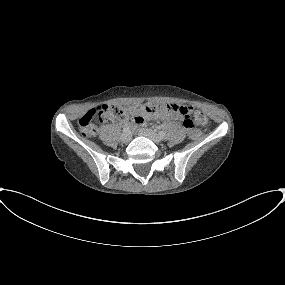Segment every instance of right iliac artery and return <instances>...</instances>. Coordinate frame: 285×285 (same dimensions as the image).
I'll list each match as a JSON object with an SVG mask.
<instances>
[{
  "label": "right iliac artery",
  "instance_id": "obj_1",
  "mask_svg": "<svg viewBox=\"0 0 285 285\" xmlns=\"http://www.w3.org/2000/svg\"><path fill=\"white\" fill-rule=\"evenodd\" d=\"M129 130H130V127L128 125H125L123 128V133L129 132Z\"/></svg>",
  "mask_w": 285,
  "mask_h": 285
}]
</instances>
